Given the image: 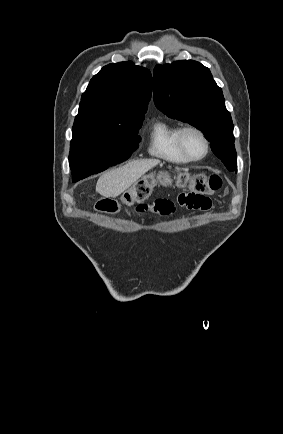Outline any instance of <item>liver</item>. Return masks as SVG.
I'll return each mask as SVG.
<instances>
[{"label": "liver", "mask_w": 283, "mask_h": 434, "mask_svg": "<svg viewBox=\"0 0 283 434\" xmlns=\"http://www.w3.org/2000/svg\"><path fill=\"white\" fill-rule=\"evenodd\" d=\"M160 163L157 159H142L104 173L97 181L96 191L104 197H117L136 183L147 171Z\"/></svg>", "instance_id": "1"}]
</instances>
